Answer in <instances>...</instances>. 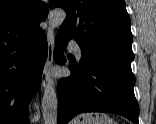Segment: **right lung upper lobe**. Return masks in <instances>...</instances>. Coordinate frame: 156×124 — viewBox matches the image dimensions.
Masks as SVG:
<instances>
[{"label": "right lung upper lobe", "mask_w": 156, "mask_h": 124, "mask_svg": "<svg viewBox=\"0 0 156 124\" xmlns=\"http://www.w3.org/2000/svg\"><path fill=\"white\" fill-rule=\"evenodd\" d=\"M47 14V4L39 0H0V44L33 35Z\"/></svg>", "instance_id": "obj_1"}]
</instances>
